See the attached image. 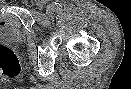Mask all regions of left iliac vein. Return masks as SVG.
Wrapping results in <instances>:
<instances>
[{
  "mask_svg": "<svg viewBox=\"0 0 131 89\" xmlns=\"http://www.w3.org/2000/svg\"><path fill=\"white\" fill-rule=\"evenodd\" d=\"M46 13L47 15L51 16L53 14V8L51 6L47 7Z\"/></svg>",
  "mask_w": 131,
  "mask_h": 89,
  "instance_id": "1",
  "label": "left iliac vein"
}]
</instances>
